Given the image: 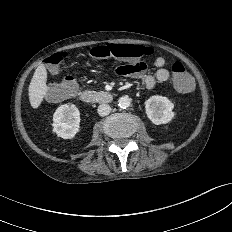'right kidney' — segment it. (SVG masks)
I'll return each instance as SVG.
<instances>
[{"mask_svg": "<svg viewBox=\"0 0 232 232\" xmlns=\"http://www.w3.org/2000/svg\"><path fill=\"white\" fill-rule=\"evenodd\" d=\"M80 112L74 104L58 107L53 115V132L63 139H72L78 133Z\"/></svg>", "mask_w": 232, "mask_h": 232, "instance_id": "obj_1", "label": "right kidney"}]
</instances>
